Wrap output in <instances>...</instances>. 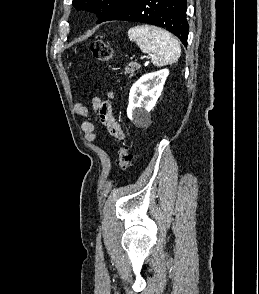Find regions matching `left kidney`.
Returning <instances> with one entry per match:
<instances>
[{
  "mask_svg": "<svg viewBox=\"0 0 259 294\" xmlns=\"http://www.w3.org/2000/svg\"><path fill=\"white\" fill-rule=\"evenodd\" d=\"M169 75L168 69L145 74L130 89L127 116L138 125L142 124L155 106L164 83Z\"/></svg>",
  "mask_w": 259,
  "mask_h": 294,
  "instance_id": "left-kidney-1",
  "label": "left kidney"
}]
</instances>
